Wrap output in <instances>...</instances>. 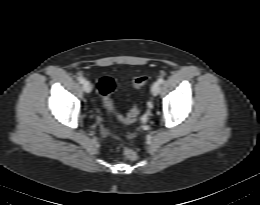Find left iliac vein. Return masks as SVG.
<instances>
[{"label":"left iliac vein","instance_id":"4c4485c4","mask_svg":"<svg viewBox=\"0 0 260 205\" xmlns=\"http://www.w3.org/2000/svg\"><path fill=\"white\" fill-rule=\"evenodd\" d=\"M151 92L154 96L158 95L160 92V83L159 82H154L152 87H151Z\"/></svg>","mask_w":260,"mask_h":205}]
</instances>
